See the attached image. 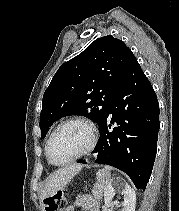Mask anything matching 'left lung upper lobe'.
<instances>
[{"label":"left lung upper lobe","instance_id":"1","mask_svg":"<svg viewBox=\"0 0 179 211\" xmlns=\"http://www.w3.org/2000/svg\"><path fill=\"white\" fill-rule=\"evenodd\" d=\"M133 57L123 41L108 35L62 64L43 96L41 138L56 120L67 115H85L100 128Z\"/></svg>","mask_w":179,"mask_h":211}]
</instances>
